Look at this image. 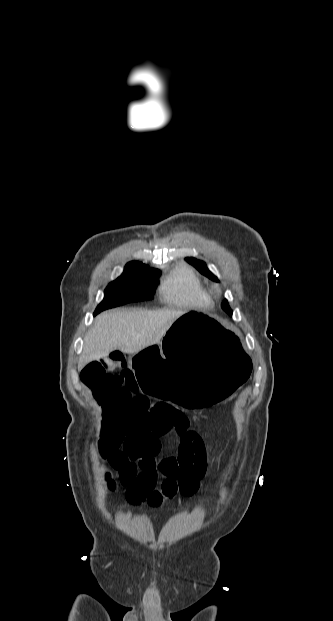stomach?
I'll use <instances>...</instances> for the list:
<instances>
[{
	"label": "stomach",
	"instance_id": "1",
	"mask_svg": "<svg viewBox=\"0 0 333 621\" xmlns=\"http://www.w3.org/2000/svg\"><path fill=\"white\" fill-rule=\"evenodd\" d=\"M252 355L232 326L205 312L180 316L159 344L147 341L131 357L146 396H165L178 412L213 413L252 374Z\"/></svg>",
	"mask_w": 333,
	"mask_h": 621
}]
</instances>
